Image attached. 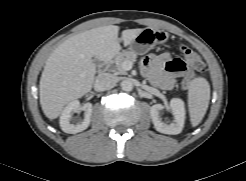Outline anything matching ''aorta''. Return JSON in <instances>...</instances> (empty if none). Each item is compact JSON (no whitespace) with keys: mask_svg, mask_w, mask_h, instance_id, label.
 Wrapping results in <instances>:
<instances>
[{"mask_svg":"<svg viewBox=\"0 0 246 181\" xmlns=\"http://www.w3.org/2000/svg\"><path fill=\"white\" fill-rule=\"evenodd\" d=\"M123 91L130 92L133 89V83L129 79H125L120 84Z\"/></svg>","mask_w":246,"mask_h":181,"instance_id":"1","label":"aorta"}]
</instances>
